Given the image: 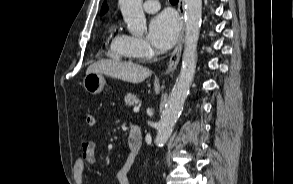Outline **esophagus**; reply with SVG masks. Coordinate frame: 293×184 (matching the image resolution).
I'll return each mask as SVG.
<instances>
[{
    "instance_id": "obj_1",
    "label": "esophagus",
    "mask_w": 293,
    "mask_h": 184,
    "mask_svg": "<svg viewBox=\"0 0 293 184\" xmlns=\"http://www.w3.org/2000/svg\"><path fill=\"white\" fill-rule=\"evenodd\" d=\"M178 12L181 16V22H182V30H181V34L179 37V40L177 42V45L175 47V49L173 50L169 63H168V67L165 71L166 74H169L171 72H173L180 60V56H181V51H182V45L184 42V30H185V20H184V7H183V0H179L178 3Z\"/></svg>"
}]
</instances>
